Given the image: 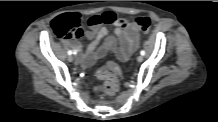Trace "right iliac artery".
<instances>
[{
    "label": "right iliac artery",
    "mask_w": 218,
    "mask_h": 122,
    "mask_svg": "<svg viewBox=\"0 0 218 122\" xmlns=\"http://www.w3.org/2000/svg\"><path fill=\"white\" fill-rule=\"evenodd\" d=\"M71 54H72V51H71V50H69V51H68V55H71Z\"/></svg>",
    "instance_id": "right-iliac-artery-1"
}]
</instances>
